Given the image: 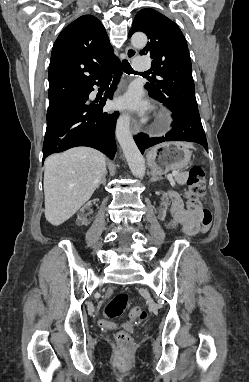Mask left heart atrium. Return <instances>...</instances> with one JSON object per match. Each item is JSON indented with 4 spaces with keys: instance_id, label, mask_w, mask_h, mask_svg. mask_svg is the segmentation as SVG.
<instances>
[{
    "instance_id": "obj_1",
    "label": "left heart atrium",
    "mask_w": 249,
    "mask_h": 382,
    "mask_svg": "<svg viewBox=\"0 0 249 382\" xmlns=\"http://www.w3.org/2000/svg\"><path fill=\"white\" fill-rule=\"evenodd\" d=\"M117 105L120 107H139L141 105L140 96L136 91H130L117 101Z\"/></svg>"
}]
</instances>
